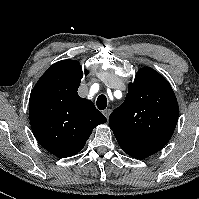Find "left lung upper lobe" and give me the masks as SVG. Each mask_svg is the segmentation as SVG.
<instances>
[{"mask_svg": "<svg viewBox=\"0 0 199 199\" xmlns=\"http://www.w3.org/2000/svg\"><path fill=\"white\" fill-rule=\"evenodd\" d=\"M128 90L125 101L110 114L111 129L119 128L167 144L179 116L169 82L154 69L143 67Z\"/></svg>", "mask_w": 199, "mask_h": 199, "instance_id": "left-lung-upper-lobe-1", "label": "left lung upper lobe"}]
</instances>
